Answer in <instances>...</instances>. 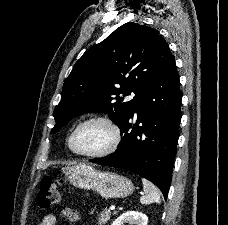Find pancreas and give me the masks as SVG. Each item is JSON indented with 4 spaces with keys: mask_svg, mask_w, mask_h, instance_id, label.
Masks as SVG:
<instances>
[{
    "mask_svg": "<svg viewBox=\"0 0 228 225\" xmlns=\"http://www.w3.org/2000/svg\"><path fill=\"white\" fill-rule=\"evenodd\" d=\"M110 217L111 215L109 211H107V209H104V211H101V213H99L98 225H106Z\"/></svg>",
    "mask_w": 228,
    "mask_h": 225,
    "instance_id": "1",
    "label": "pancreas"
}]
</instances>
